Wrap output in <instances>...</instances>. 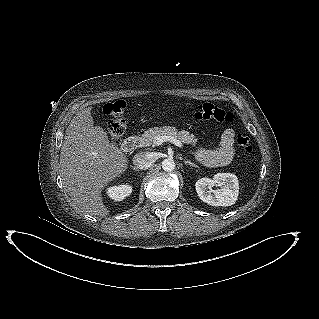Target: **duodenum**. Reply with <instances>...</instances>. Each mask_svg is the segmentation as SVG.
<instances>
[{
    "instance_id": "410a0bca",
    "label": "duodenum",
    "mask_w": 319,
    "mask_h": 319,
    "mask_svg": "<svg viewBox=\"0 0 319 319\" xmlns=\"http://www.w3.org/2000/svg\"><path fill=\"white\" fill-rule=\"evenodd\" d=\"M135 143H136L135 136H133V135L128 136L121 144L122 152H124V153L131 152L135 147Z\"/></svg>"
}]
</instances>
